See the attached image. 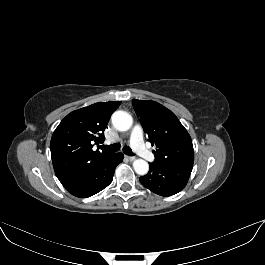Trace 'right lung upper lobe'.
I'll use <instances>...</instances> for the list:
<instances>
[{
  "label": "right lung upper lobe",
  "mask_w": 265,
  "mask_h": 265,
  "mask_svg": "<svg viewBox=\"0 0 265 265\" xmlns=\"http://www.w3.org/2000/svg\"><path fill=\"white\" fill-rule=\"evenodd\" d=\"M120 104V101L95 103L72 111L60 122L52 135L50 150L54 171L61 183L110 155L93 151L92 147L104 141L103 131Z\"/></svg>",
  "instance_id": "obj_1"
}]
</instances>
